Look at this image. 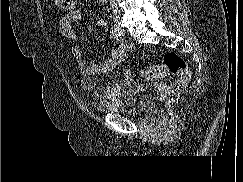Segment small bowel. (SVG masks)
Instances as JSON below:
<instances>
[{"label": "small bowel", "mask_w": 243, "mask_h": 182, "mask_svg": "<svg viewBox=\"0 0 243 182\" xmlns=\"http://www.w3.org/2000/svg\"><path fill=\"white\" fill-rule=\"evenodd\" d=\"M82 13L79 10L71 11L59 19V29L61 35L71 42V53L77 61V66L82 75V87L87 90H92L95 87V82L91 78L92 75L100 73H111L115 71L122 61L127 56L130 45L126 41H121L114 38L117 45L110 52L107 59L102 61L86 62L83 59V53L81 47L75 42L78 36L74 30V24L81 20ZM97 26L100 28H107V22L99 20ZM138 86L133 81L132 73L128 70L120 74V79H113L110 81L109 86L104 92L95 91L93 97L95 99H108L115 100L123 93H129L136 90Z\"/></svg>", "instance_id": "small-bowel-1"}]
</instances>
